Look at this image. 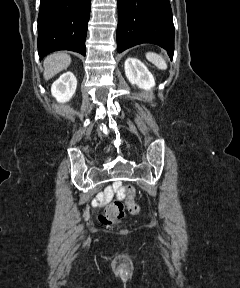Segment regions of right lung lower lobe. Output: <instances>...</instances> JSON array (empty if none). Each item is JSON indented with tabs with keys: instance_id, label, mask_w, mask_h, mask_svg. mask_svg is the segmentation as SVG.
Instances as JSON below:
<instances>
[{
	"instance_id": "98d812e1",
	"label": "right lung lower lobe",
	"mask_w": 240,
	"mask_h": 288,
	"mask_svg": "<svg viewBox=\"0 0 240 288\" xmlns=\"http://www.w3.org/2000/svg\"><path fill=\"white\" fill-rule=\"evenodd\" d=\"M91 0H41L38 52L43 58L57 50L86 54L85 40Z\"/></svg>"
}]
</instances>
